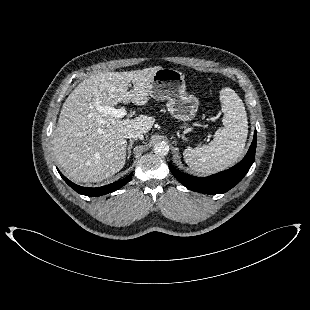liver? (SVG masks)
Masks as SVG:
<instances>
[{
    "label": "liver",
    "mask_w": 310,
    "mask_h": 310,
    "mask_svg": "<svg viewBox=\"0 0 310 310\" xmlns=\"http://www.w3.org/2000/svg\"><path fill=\"white\" fill-rule=\"evenodd\" d=\"M160 66L129 72H105L82 81L63 104L54 130L53 152L58 164L76 182H101L125 165L127 134L148 133L155 119L116 118L98 110L130 102L142 106L150 96ZM133 89L128 90L130 84Z\"/></svg>",
    "instance_id": "liver-1"
}]
</instances>
